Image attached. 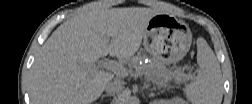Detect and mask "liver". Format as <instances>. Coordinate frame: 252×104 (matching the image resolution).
I'll use <instances>...</instances> for the list:
<instances>
[{
	"instance_id": "6515ba94",
	"label": "liver",
	"mask_w": 252,
	"mask_h": 104,
	"mask_svg": "<svg viewBox=\"0 0 252 104\" xmlns=\"http://www.w3.org/2000/svg\"><path fill=\"white\" fill-rule=\"evenodd\" d=\"M159 12L143 7L95 6L62 23L42 45L29 77L37 104H90L114 74L95 63L110 56L130 59L138 51L149 20Z\"/></svg>"
}]
</instances>
